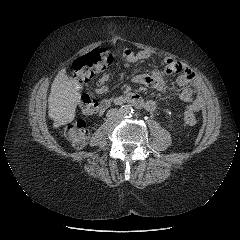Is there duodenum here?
<instances>
[{
  "mask_svg": "<svg viewBox=\"0 0 240 240\" xmlns=\"http://www.w3.org/2000/svg\"><path fill=\"white\" fill-rule=\"evenodd\" d=\"M114 104H116V105L130 104L136 108L145 107L144 100L141 98L140 95L135 94V93H128L126 95L117 97L114 100Z\"/></svg>",
  "mask_w": 240,
  "mask_h": 240,
  "instance_id": "duodenum-1",
  "label": "duodenum"
}]
</instances>
